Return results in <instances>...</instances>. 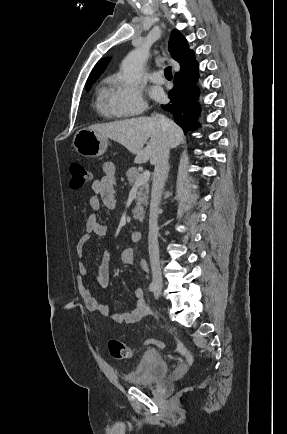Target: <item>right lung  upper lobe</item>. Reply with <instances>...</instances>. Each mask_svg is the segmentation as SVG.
Instances as JSON below:
<instances>
[{"label": "right lung upper lobe", "mask_w": 287, "mask_h": 434, "mask_svg": "<svg viewBox=\"0 0 287 434\" xmlns=\"http://www.w3.org/2000/svg\"><path fill=\"white\" fill-rule=\"evenodd\" d=\"M169 50L171 52L173 59L179 62L181 67L185 65L194 56L193 51L189 49L187 40L176 29L173 30L171 33V38L169 41ZM108 63L109 60L101 59L92 70L87 80V83L93 81L95 82L98 79V77L103 73V71L106 69Z\"/></svg>", "instance_id": "cb5924a9"}]
</instances>
